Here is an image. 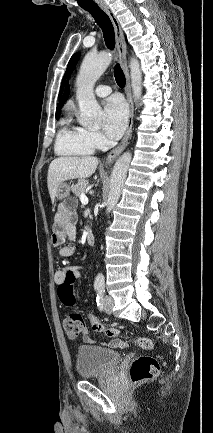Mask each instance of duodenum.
<instances>
[{
	"label": "duodenum",
	"instance_id": "obj_1",
	"mask_svg": "<svg viewBox=\"0 0 213 433\" xmlns=\"http://www.w3.org/2000/svg\"><path fill=\"white\" fill-rule=\"evenodd\" d=\"M86 242H87L89 245H93V244L95 243V237H94V235L92 234V232H90V231H87V232H86Z\"/></svg>",
	"mask_w": 213,
	"mask_h": 433
}]
</instances>
